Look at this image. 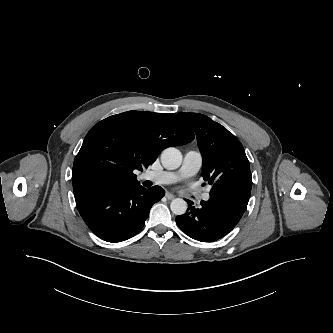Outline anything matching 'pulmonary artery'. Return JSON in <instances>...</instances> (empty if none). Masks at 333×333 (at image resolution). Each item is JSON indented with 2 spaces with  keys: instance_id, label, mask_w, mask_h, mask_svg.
I'll list each match as a JSON object with an SVG mask.
<instances>
[{
  "instance_id": "1",
  "label": "pulmonary artery",
  "mask_w": 333,
  "mask_h": 333,
  "mask_svg": "<svg viewBox=\"0 0 333 333\" xmlns=\"http://www.w3.org/2000/svg\"><path fill=\"white\" fill-rule=\"evenodd\" d=\"M202 166V155L196 150L187 151L184 154L183 163L177 171H146L141 179L149 180L156 184H173L184 178L194 176ZM201 198L209 200V191H205Z\"/></svg>"
}]
</instances>
